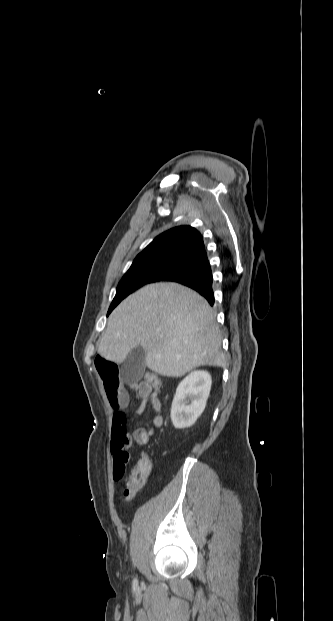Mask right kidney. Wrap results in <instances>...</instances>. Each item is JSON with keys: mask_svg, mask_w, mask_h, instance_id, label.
<instances>
[{"mask_svg": "<svg viewBox=\"0 0 333 621\" xmlns=\"http://www.w3.org/2000/svg\"><path fill=\"white\" fill-rule=\"evenodd\" d=\"M211 383V376L206 371L191 372L182 380L171 407V420L175 428L182 429L195 423L205 409ZM187 397L191 398L189 404Z\"/></svg>", "mask_w": 333, "mask_h": 621, "instance_id": "right-kidney-1", "label": "right kidney"}]
</instances>
